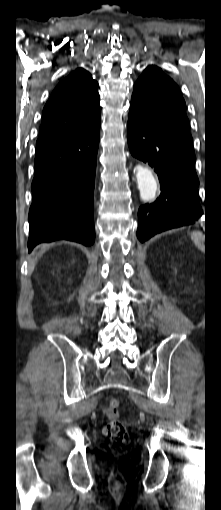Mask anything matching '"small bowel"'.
<instances>
[{
	"label": "small bowel",
	"mask_w": 221,
	"mask_h": 510,
	"mask_svg": "<svg viewBox=\"0 0 221 510\" xmlns=\"http://www.w3.org/2000/svg\"><path fill=\"white\" fill-rule=\"evenodd\" d=\"M104 411H105V413L109 416V411H108V408H107V407H105Z\"/></svg>",
	"instance_id": "small-bowel-1"
}]
</instances>
